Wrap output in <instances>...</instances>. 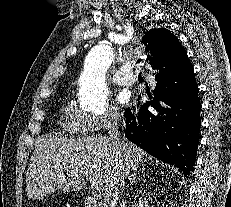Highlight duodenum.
<instances>
[{
    "label": "duodenum",
    "instance_id": "obj_1",
    "mask_svg": "<svg viewBox=\"0 0 231 207\" xmlns=\"http://www.w3.org/2000/svg\"><path fill=\"white\" fill-rule=\"evenodd\" d=\"M85 207H106V206H100L96 202V200L92 197H87L85 199Z\"/></svg>",
    "mask_w": 231,
    "mask_h": 207
}]
</instances>
